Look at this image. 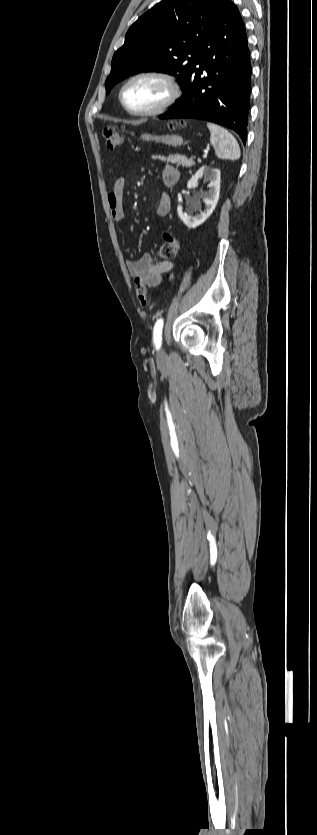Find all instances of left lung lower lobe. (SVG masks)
I'll use <instances>...</instances> for the list:
<instances>
[{"label": "left lung lower lobe", "instance_id": "obj_1", "mask_svg": "<svg viewBox=\"0 0 317 835\" xmlns=\"http://www.w3.org/2000/svg\"><path fill=\"white\" fill-rule=\"evenodd\" d=\"M251 63L238 8L231 3L203 43L183 94L160 119L196 118L234 130L246 143Z\"/></svg>", "mask_w": 317, "mask_h": 835}]
</instances>
